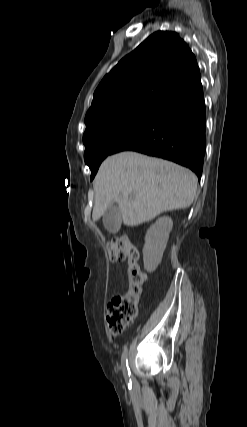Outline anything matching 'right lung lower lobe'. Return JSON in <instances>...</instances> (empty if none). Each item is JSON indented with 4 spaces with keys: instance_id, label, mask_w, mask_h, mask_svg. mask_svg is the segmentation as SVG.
Here are the masks:
<instances>
[{
    "instance_id": "1",
    "label": "right lung lower lobe",
    "mask_w": 247,
    "mask_h": 427,
    "mask_svg": "<svg viewBox=\"0 0 247 427\" xmlns=\"http://www.w3.org/2000/svg\"><path fill=\"white\" fill-rule=\"evenodd\" d=\"M206 116L201 80L166 98L114 153L136 151L190 168L200 180L206 150Z\"/></svg>"
}]
</instances>
